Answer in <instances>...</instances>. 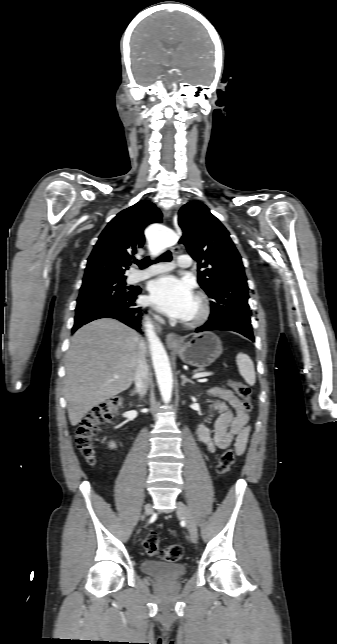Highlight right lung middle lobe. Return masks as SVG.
Segmentation results:
<instances>
[{
    "label": "right lung middle lobe",
    "instance_id": "1",
    "mask_svg": "<svg viewBox=\"0 0 337 644\" xmlns=\"http://www.w3.org/2000/svg\"><path fill=\"white\" fill-rule=\"evenodd\" d=\"M124 278H94L83 281L76 311L127 300L136 289L126 287Z\"/></svg>",
    "mask_w": 337,
    "mask_h": 644
}]
</instances>
